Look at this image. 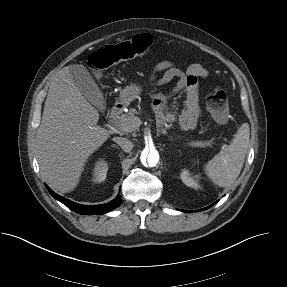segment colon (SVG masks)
<instances>
[{
	"label": "colon",
	"instance_id": "obj_1",
	"mask_svg": "<svg viewBox=\"0 0 287 287\" xmlns=\"http://www.w3.org/2000/svg\"><path fill=\"white\" fill-rule=\"evenodd\" d=\"M153 42L148 34H139L127 41L103 46L89 56V65L94 72L100 73L114 64L143 55ZM207 107L215 121L221 124L227 122L228 99L222 89L215 88L208 94Z\"/></svg>",
	"mask_w": 287,
	"mask_h": 287
}]
</instances>
